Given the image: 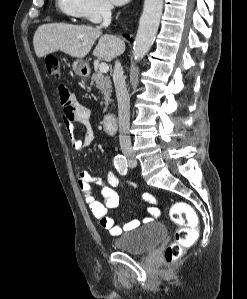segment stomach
<instances>
[{"label":"stomach","instance_id":"1","mask_svg":"<svg viewBox=\"0 0 247 299\" xmlns=\"http://www.w3.org/2000/svg\"><path fill=\"white\" fill-rule=\"evenodd\" d=\"M73 71L80 77H87L89 75V66L81 59H77L72 64Z\"/></svg>","mask_w":247,"mask_h":299}]
</instances>
